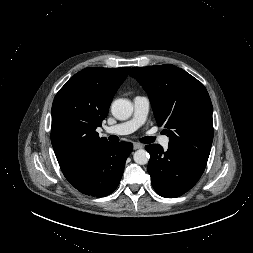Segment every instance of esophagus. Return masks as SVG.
I'll return each instance as SVG.
<instances>
[{
    "label": "esophagus",
    "instance_id": "esophagus-1",
    "mask_svg": "<svg viewBox=\"0 0 253 253\" xmlns=\"http://www.w3.org/2000/svg\"><path fill=\"white\" fill-rule=\"evenodd\" d=\"M133 147H134L135 150H137V149H142L144 147V145L141 144V143L135 142Z\"/></svg>",
    "mask_w": 253,
    "mask_h": 253
}]
</instances>
